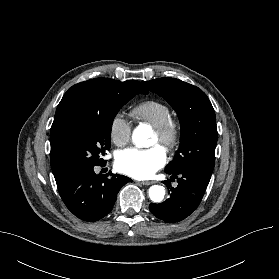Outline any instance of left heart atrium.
I'll return each mask as SVG.
<instances>
[{"label":"left heart atrium","mask_w":279,"mask_h":279,"mask_svg":"<svg viewBox=\"0 0 279 279\" xmlns=\"http://www.w3.org/2000/svg\"><path fill=\"white\" fill-rule=\"evenodd\" d=\"M166 163L165 150L155 145L151 148H127L116 155L115 166L118 171L136 179H146Z\"/></svg>","instance_id":"left-heart-atrium-1"}]
</instances>
